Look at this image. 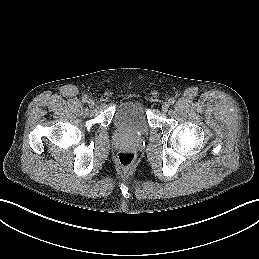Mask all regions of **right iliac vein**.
Listing matches in <instances>:
<instances>
[{
  "mask_svg": "<svg viewBox=\"0 0 259 259\" xmlns=\"http://www.w3.org/2000/svg\"><path fill=\"white\" fill-rule=\"evenodd\" d=\"M88 105H89L90 107H94V105H95L94 100H93V99H90V100L88 101Z\"/></svg>",
  "mask_w": 259,
  "mask_h": 259,
  "instance_id": "obj_1",
  "label": "right iliac vein"
}]
</instances>
